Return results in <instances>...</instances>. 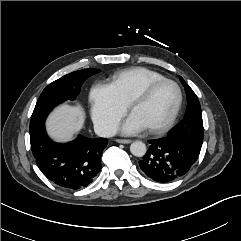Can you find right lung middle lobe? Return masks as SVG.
Masks as SVG:
<instances>
[{"mask_svg": "<svg viewBox=\"0 0 241 241\" xmlns=\"http://www.w3.org/2000/svg\"><path fill=\"white\" fill-rule=\"evenodd\" d=\"M99 69H83L65 75L49 84L40 95L30 121V131L43 124L48 114L58 104L74 100L81 85L90 76L99 73Z\"/></svg>", "mask_w": 241, "mask_h": 241, "instance_id": "right-lung-middle-lobe-1", "label": "right lung middle lobe"}]
</instances>
